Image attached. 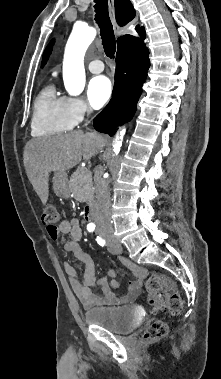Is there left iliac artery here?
I'll use <instances>...</instances> for the list:
<instances>
[{
	"label": "left iliac artery",
	"instance_id": "1",
	"mask_svg": "<svg viewBox=\"0 0 221 379\" xmlns=\"http://www.w3.org/2000/svg\"><path fill=\"white\" fill-rule=\"evenodd\" d=\"M97 242H98V244L99 245H101V246H104L105 245V240L104 239H102V238H100V237H97Z\"/></svg>",
	"mask_w": 221,
	"mask_h": 379
}]
</instances>
